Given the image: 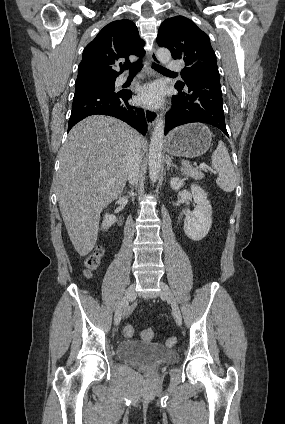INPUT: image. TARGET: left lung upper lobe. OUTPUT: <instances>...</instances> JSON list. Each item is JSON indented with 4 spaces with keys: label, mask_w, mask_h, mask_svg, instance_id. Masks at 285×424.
<instances>
[{
    "label": "left lung upper lobe",
    "mask_w": 285,
    "mask_h": 424,
    "mask_svg": "<svg viewBox=\"0 0 285 424\" xmlns=\"http://www.w3.org/2000/svg\"><path fill=\"white\" fill-rule=\"evenodd\" d=\"M157 43L160 47L168 48L174 59H183L185 62L181 71L184 82L179 81L175 85L183 87L189 80L199 76L220 77L208 35L190 19L175 16L163 21Z\"/></svg>",
    "instance_id": "obj_1"
}]
</instances>
